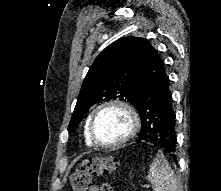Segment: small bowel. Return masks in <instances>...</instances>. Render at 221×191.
Here are the masks:
<instances>
[{"instance_id": "c3829d8e", "label": "small bowel", "mask_w": 221, "mask_h": 191, "mask_svg": "<svg viewBox=\"0 0 221 191\" xmlns=\"http://www.w3.org/2000/svg\"><path fill=\"white\" fill-rule=\"evenodd\" d=\"M100 187H101V186H99V185H93V186L90 188L89 191H101V190H100Z\"/></svg>"}]
</instances>
